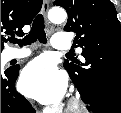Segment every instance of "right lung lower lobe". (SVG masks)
Returning a JSON list of instances; mask_svg holds the SVG:
<instances>
[{
	"label": "right lung lower lobe",
	"mask_w": 121,
	"mask_h": 113,
	"mask_svg": "<svg viewBox=\"0 0 121 113\" xmlns=\"http://www.w3.org/2000/svg\"><path fill=\"white\" fill-rule=\"evenodd\" d=\"M19 68H9L1 74V113H35L31 104L15 90Z\"/></svg>",
	"instance_id": "right-lung-lower-lobe-1"
}]
</instances>
